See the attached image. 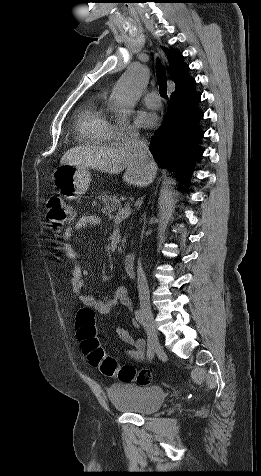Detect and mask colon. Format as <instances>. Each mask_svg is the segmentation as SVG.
Returning <instances> with one entry per match:
<instances>
[{
    "instance_id": "5ec220e1",
    "label": "colon",
    "mask_w": 261,
    "mask_h": 476,
    "mask_svg": "<svg viewBox=\"0 0 261 476\" xmlns=\"http://www.w3.org/2000/svg\"><path fill=\"white\" fill-rule=\"evenodd\" d=\"M46 217L50 228L58 232L73 219V211L61 197L51 196L46 201ZM95 321L96 314L92 308L84 306L79 309L76 317L77 336L90 364L105 376L117 377L122 382L150 383L149 370L137 371L132 365L120 364L105 353L96 336Z\"/></svg>"
}]
</instances>
